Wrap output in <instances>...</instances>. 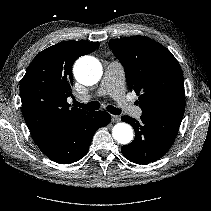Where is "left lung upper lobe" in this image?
Instances as JSON below:
<instances>
[{
	"label": "left lung upper lobe",
	"mask_w": 211,
	"mask_h": 211,
	"mask_svg": "<svg viewBox=\"0 0 211 211\" xmlns=\"http://www.w3.org/2000/svg\"><path fill=\"white\" fill-rule=\"evenodd\" d=\"M109 46L124 66L129 89L139 96L142 114L183 116V73L167 48L144 36L113 39Z\"/></svg>",
	"instance_id": "5c2ea615"
}]
</instances>
